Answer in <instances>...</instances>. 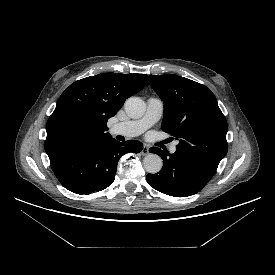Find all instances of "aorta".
Listing matches in <instances>:
<instances>
[{"label": "aorta", "mask_w": 275, "mask_h": 275, "mask_svg": "<svg viewBox=\"0 0 275 275\" xmlns=\"http://www.w3.org/2000/svg\"><path fill=\"white\" fill-rule=\"evenodd\" d=\"M145 102L138 97H130L125 102V111L130 118L136 119L144 115ZM144 169L151 174H156L162 169L163 161L157 154L150 153L143 159Z\"/></svg>", "instance_id": "1"}]
</instances>
